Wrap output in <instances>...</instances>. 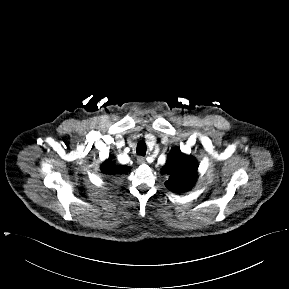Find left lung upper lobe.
Masks as SVG:
<instances>
[{"label": "left lung upper lobe", "instance_id": "obj_1", "mask_svg": "<svg viewBox=\"0 0 289 289\" xmlns=\"http://www.w3.org/2000/svg\"><path fill=\"white\" fill-rule=\"evenodd\" d=\"M197 169L198 164L192 156L183 154L179 148L171 150L162 169V173L169 176L166 187L175 193L188 191L196 181Z\"/></svg>", "mask_w": 289, "mask_h": 289}]
</instances>
